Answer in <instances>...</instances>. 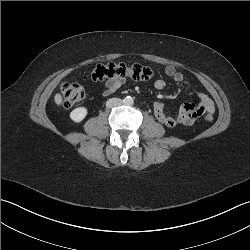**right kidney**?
Here are the masks:
<instances>
[{"label": "right kidney", "instance_id": "ca27d5eb", "mask_svg": "<svg viewBox=\"0 0 250 250\" xmlns=\"http://www.w3.org/2000/svg\"><path fill=\"white\" fill-rule=\"evenodd\" d=\"M87 113L88 111L85 107H79V108L74 109L70 113V118L74 122L79 123L86 117Z\"/></svg>", "mask_w": 250, "mask_h": 250}]
</instances>
